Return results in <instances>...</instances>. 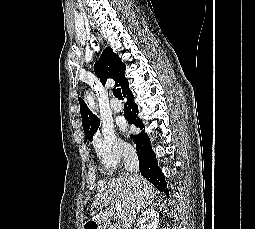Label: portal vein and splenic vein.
I'll return each mask as SVG.
<instances>
[{
  "label": "portal vein and splenic vein",
  "mask_w": 255,
  "mask_h": 229,
  "mask_svg": "<svg viewBox=\"0 0 255 229\" xmlns=\"http://www.w3.org/2000/svg\"><path fill=\"white\" fill-rule=\"evenodd\" d=\"M105 203H108V201H105ZM116 210H117V217L123 218L124 211L121 209L120 203H116Z\"/></svg>",
  "instance_id": "18ae733b"
}]
</instances>
